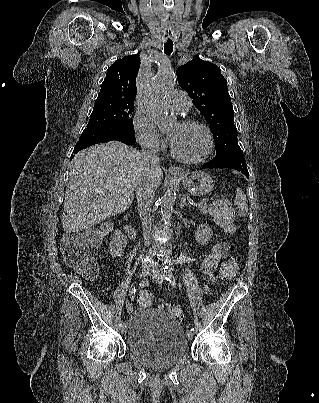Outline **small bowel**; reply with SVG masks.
<instances>
[{
  "label": "small bowel",
  "instance_id": "obj_1",
  "mask_svg": "<svg viewBox=\"0 0 319 403\" xmlns=\"http://www.w3.org/2000/svg\"><path fill=\"white\" fill-rule=\"evenodd\" d=\"M227 252L228 244L223 240H219L201 261L200 270L207 276L208 282H216L217 277L214 272L217 269L221 259L226 255ZM219 278H222L221 273ZM129 309H131L130 306Z\"/></svg>",
  "mask_w": 319,
  "mask_h": 403
}]
</instances>
